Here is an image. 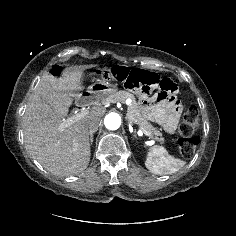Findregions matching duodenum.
Wrapping results in <instances>:
<instances>
[{
  "mask_svg": "<svg viewBox=\"0 0 236 236\" xmlns=\"http://www.w3.org/2000/svg\"><path fill=\"white\" fill-rule=\"evenodd\" d=\"M86 101H87V98H85V97L79 98V99L77 100L76 104H77V106L82 107V106L85 105Z\"/></svg>",
  "mask_w": 236,
  "mask_h": 236,
  "instance_id": "obj_1",
  "label": "duodenum"
}]
</instances>
